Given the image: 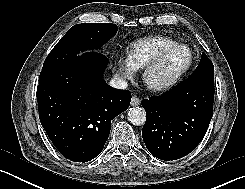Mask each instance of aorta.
<instances>
[{
  "label": "aorta",
  "instance_id": "1",
  "mask_svg": "<svg viewBox=\"0 0 245 189\" xmlns=\"http://www.w3.org/2000/svg\"><path fill=\"white\" fill-rule=\"evenodd\" d=\"M128 117L133 125L140 126L146 121V112L141 107H132L128 111Z\"/></svg>",
  "mask_w": 245,
  "mask_h": 189
}]
</instances>
